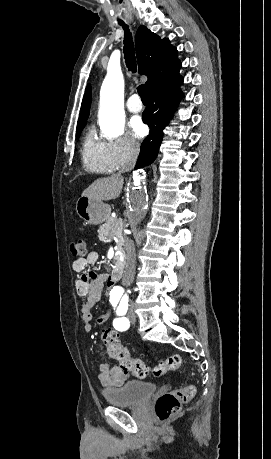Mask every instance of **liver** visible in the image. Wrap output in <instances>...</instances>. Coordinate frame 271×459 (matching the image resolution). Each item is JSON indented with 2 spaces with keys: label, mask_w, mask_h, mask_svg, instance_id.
<instances>
[{
  "label": "liver",
  "mask_w": 271,
  "mask_h": 459,
  "mask_svg": "<svg viewBox=\"0 0 271 459\" xmlns=\"http://www.w3.org/2000/svg\"><path fill=\"white\" fill-rule=\"evenodd\" d=\"M123 184L124 178L121 174H112L109 178H99L87 190H84L82 198L115 200V198H119Z\"/></svg>",
  "instance_id": "1"
}]
</instances>
